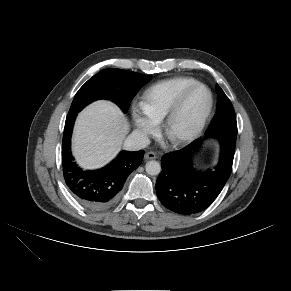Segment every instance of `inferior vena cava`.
<instances>
[{"instance_id": "1", "label": "inferior vena cava", "mask_w": 291, "mask_h": 291, "mask_svg": "<svg viewBox=\"0 0 291 291\" xmlns=\"http://www.w3.org/2000/svg\"><path fill=\"white\" fill-rule=\"evenodd\" d=\"M150 139L141 131L134 130L125 140L124 147L126 150L136 151L147 147Z\"/></svg>"}]
</instances>
